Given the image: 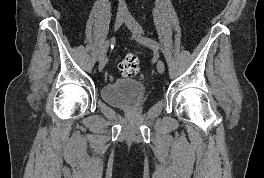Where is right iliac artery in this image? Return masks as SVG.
Here are the masks:
<instances>
[{"mask_svg":"<svg viewBox=\"0 0 264 178\" xmlns=\"http://www.w3.org/2000/svg\"><path fill=\"white\" fill-rule=\"evenodd\" d=\"M108 47H109V40L105 41L103 47H102V50H101V53H100V56H99V61H101L104 57H105V54L108 50Z\"/></svg>","mask_w":264,"mask_h":178,"instance_id":"right-iliac-artery-1","label":"right iliac artery"}]
</instances>
